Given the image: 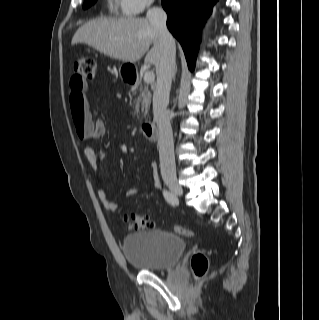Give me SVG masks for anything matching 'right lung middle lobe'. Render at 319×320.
<instances>
[{
	"instance_id": "1",
	"label": "right lung middle lobe",
	"mask_w": 319,
	"mask_h": 320,
	"mask_svg": "<svg viewBox=\"0 0 319 320\" xmlns=\"http://www.w3.org/2000/svg\"><path fill=\"white\" fill-rule=\"evenodd\" d=\"M96 2V0H87L86 2H84L83 4V8L87 9L89 8L91 5H93Z\"/></svg>"
}]
</instances>
